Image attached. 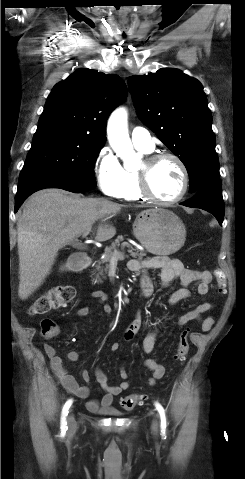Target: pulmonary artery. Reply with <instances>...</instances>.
I'll list each match as a JSON object with an SVG mask.
<instances>
[{
    "mask_svg": "<svg viewBox=\"0 0 245 479\" xmlns=\"http://www.w3.org/2000/svg\"><path fill=\"white\" fill-rule=\"evenodd\" d=\"M131 140L136 148L152 151L154 143L149 131L142 127H136L131 132Z\"/></svg>",
    "mask_w": 245,
    "mask_h": 479,
    "instance_id": "e3ab8cb5",
    "label": "pulmonary artery"
}]
</instances>
